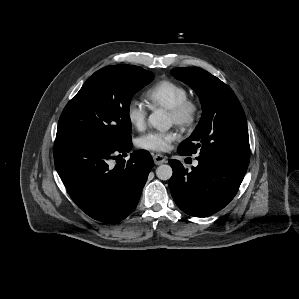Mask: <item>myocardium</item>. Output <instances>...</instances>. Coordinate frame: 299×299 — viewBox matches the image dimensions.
<instances>
[{
  "mask_svg": "<svg viewBox=\"0 0 299 299\" xmlns=\"http://www.w3.org/2000/svg\"><path fill=\"white\" fill-rule=\"evenodd\" d=\"M173 123L183 129H193L201 116V104L196 99L186 98L169 110Z\"/></svg>",
  "mask_w": 299,
  "mask_h": 299,
  "instance_id": "obj_1",
  "label": "myocardium"
}]
</instances>
